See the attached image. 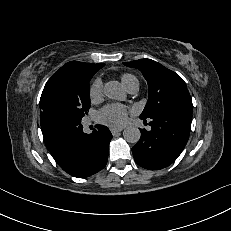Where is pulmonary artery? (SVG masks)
I'll list each match as a JSON object with an SVG mask.
<instances>
[{
	"label": "pulmonary artery",
	"instance_id": "obj_1",
	"mask_svg": "<svg viewBox=\"0 0 231 231\" xmlns=\"http://www.w3.org/2000/svg\"><path fill=\"white\" fill-rule=\"evenodd\" d=\"M138 88H139V83L138 81L132 83L128 88L127 90L130 92V93H136L138 91Z\"/></svg>",
	"mask_w": 231,
	"mask_h": 231
}]
</instances>
